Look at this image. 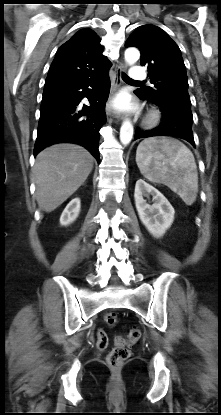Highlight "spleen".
Here are the masks:
<instances>
[{"label":"spleen","instance_id":"obj_1","mask_svg":"<svg viewBox=\"0 0 221 415\" xmlns=\"http://www.w3.org/2000/svg\"><path fill=\"white\" fill-rule=\"evenodd\" d=\"M136 163L152 183L164 184L192 205L198 192L195 158L182 142L167 138H147L137 147Z\"/></svg>","mask_w":221,"mask_h":415}]
</instances>
